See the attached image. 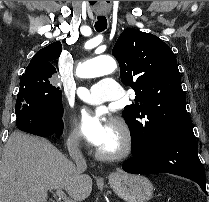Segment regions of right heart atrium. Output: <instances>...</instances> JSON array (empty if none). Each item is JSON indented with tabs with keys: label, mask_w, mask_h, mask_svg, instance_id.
Returning <instances> with one entry per match:
<instances>
[{
	"label": "right heart atrium",
	"mask_w": 209,
	"mask_h": 202,
	"mask_svg": "<svg viewBox=\"0 0 209 202\" xmlns=\"http://www.w3.org/2000/svg\"><path fill=\"white\" fill-rule=\"evenodd\" d=\"M65 144L70 150H78L82 145V139L75 129L64 130ZM66 170L72 176L78 175V170L70 163H66Z\"/></svg>",
	"instance_id": "obj_1"
}]
</instances>
